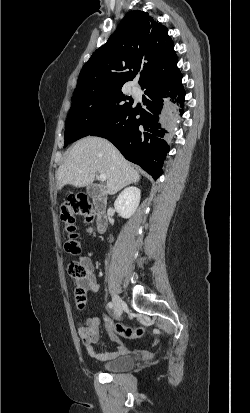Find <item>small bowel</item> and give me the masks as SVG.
<instances>
[{
	"mask_svg": "<svg viewBox=\"0 0 250 413\" xmlns=\"http://www.w3.org/2000/svg\"><path fill=\"white\" fill-rule=\"evenodd\" d=\"M79 263L85 268L86 276L78 280L79 284L86 290L96 293L99 290V284L97 282L94 265L92 262V253L83 254L79 257ZM100 319L98 316H92L86 319L84 322L80 323L78 326V335L85 346L87 353L94 358L99 360H110L118 356L127 353V347L122 344L114 334L110 323H106V329L113 341L119 343L116 350L106 353H97L95 350V345L100 341ZM140 337V336H139Z\"/></svg>",
	"mask_w": 250,
	"mask_h": 413,
	"instance_id": "1",
	"label": "small bowel"
}]
</instances>
